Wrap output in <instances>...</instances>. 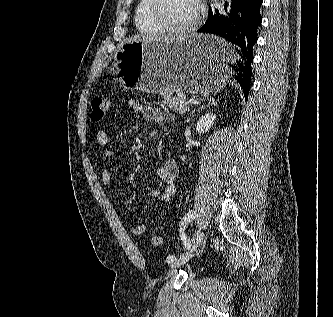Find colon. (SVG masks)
Instances as JSON below:
<instances>
[{"label": "colon", "instance_id": "5ec220e1", "mask_svg": "<svg viewBox=\"0 0 333 317\" xmlns=\"http://www.w3.org/2000/svg\"><path fill=\"white\" fill-rule=\"evenodd\" d=\"M110 109V100L104 96L94 97L91 101V121L99 123L104 119ZM161 237L155 235L152 237L151 243L153 246H160Z\"/></svg>", "mask_w": 333, "mask_h": 317}]
</instances>
